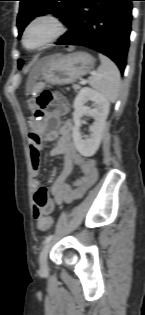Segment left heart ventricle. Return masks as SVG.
<instances>
[{
  "label": "left heart ventricle",
  "mask_w": 145,
  "mask_h": 315,
  "mask_svg": "<svg viewBox=\"0 0 145 315\" xmlns=\"http://www.w3.org/2000/svg\"><path fill=\"white\" fill-rule=\"evenodd\" d=\"M52 26L47 22L35 24L28 31L26 42L29 47H35L44 42L52 33Z\"/></svg>",
  "instance_id": "left-heart-ventricle-1"
}]
</instances>
